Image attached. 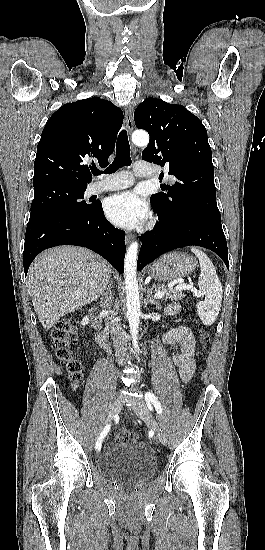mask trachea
Listing matches in <instances>:
<instances>
[{
  "label": "trachea",
  "instance_id": "1",
  "mask_svg": "<svg viewBox=\"0 0 265 550\" xmlns=\"http://www.w3.org/2000/svg\"><path fill=\"white\" fill-rule=\"evenodd\" d=\"M130 145L128 141V135L126 130H122L119 133L116 145V157L113 163L105 169V171H100L97 168L92 169L94 175H101L102 173L111 174L116 172L122 166H130Z\"/></svg>",
  "mask_w": 265,
  "mask_h": 550
}]
</instances>
